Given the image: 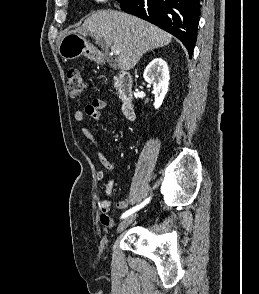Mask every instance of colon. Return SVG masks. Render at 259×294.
I'll return each instance as SVG.
<instances>
[{
    "label": "colon",
    "mask_w": 259,
    "mask_h": 294,
    "mask_svg": "<svg viewBox=\"0 0 259 294\" xmlns=\"http://www.w3.org/2000/svg\"><path fill=\"white\" fill-rule=\"evenodd\" d=\"M85 81L82 74L76 68L68 70L66 75V88L71 97H78L85 91Z\"/></svg>",
    "instance_id": "5ec220e1"
}]
</instances>
